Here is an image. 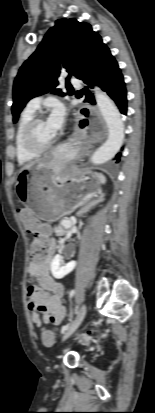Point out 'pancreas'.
Segmentation results:
<instances>
[{"label":"pancreas","instance_id":"cf45deb5","mask_svg":"<svg viewBox=\"0 0 155 413\" xmlns=\"http://www.w3.org/2000/svg\"><path fill=\"white\" fill-rule=\"evenodd\" d=\"M63 221L60 222V225L56 227V232L58 236H63L66 233V230L63 228Z\"/></svg>","mask_w":155,"mask_h":413}]
</instances>
